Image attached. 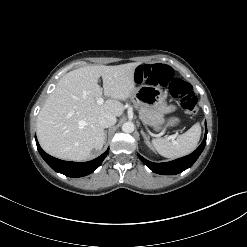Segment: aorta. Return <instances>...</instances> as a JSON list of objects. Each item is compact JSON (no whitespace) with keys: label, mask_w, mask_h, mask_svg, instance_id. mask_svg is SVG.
Masks as SVG:
<instances>
[{"label":"aorta","mask_w":247,"mask_h":247,"mask_svg":"<svg viewBox=\"0 0 247 247\" xmlns=\"http://www.w3.org/2000/svg\"><path fill=\"white\" fill-rule=\"evenodd\" d=\"M122 131L125 133H132L134 131V124L132 122H125L122 125Z\"/></svg>","instance_id":"aorta-1"}]
</instances>
